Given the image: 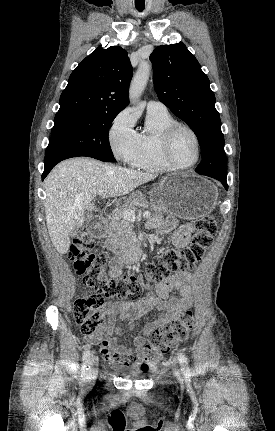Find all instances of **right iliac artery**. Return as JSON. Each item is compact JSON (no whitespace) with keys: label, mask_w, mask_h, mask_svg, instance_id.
<instances>
[{"label":"right iliac artery","mask_w":275,"mask_h":431,"mask_svg":"<svg viewBox=\"0 0 275 431\" xmlns=\"http://www.w3.org/2000/svg\"><path fill=\"white\" fill-rule=\"evenodd\" d=\"M82 372H81V377H83V379L86 378L87 375V370H88V364L90 361V351H89V347L86 345L84 347V351H83V356H82Z\"/></svg>","instance_id":"right-iliac-artery-1"}]
</instances>
